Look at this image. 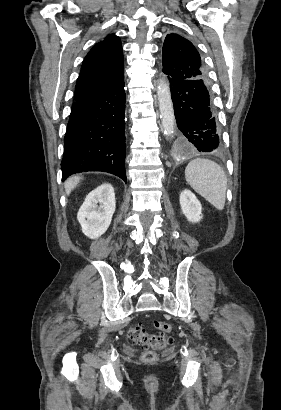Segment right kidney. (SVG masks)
<instances>
[{"label": "right kidney", "mask_w": 281, "mask_h": 410, "mask_svg": "<svg viewBox=\"0 0 281 410\" xmlns=\"http://www.w3.org/2000/svg\"><path fill=\"white\" fill-rule=\"evenodd\" d=\"M115 208V193L111 184L103 183L91 191L77 214L82 232L91 239L104 234L111 224Z\"/></svg>", "instance_id": "right-kidney-1"}]
</instances>
